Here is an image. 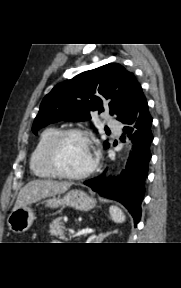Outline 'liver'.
I'll list each match as a JSON object with an SVG mask.
<instances>
[{"label":"liver","instance_id":"obj_1","mask_svg":"<svg viewBox=\"0 0 181 288\" xmlns=\"http://www.w3.org/2000/svg\"><path fill=\"white\" fill-rule=\"evenodd\" d=\"M70 182L52 180H33L27 183L19 192L13 211L36 203L46 197L64 193L71 187Z\"/></svg>","mask_w":181,"mask_h":288}]
</instances>
